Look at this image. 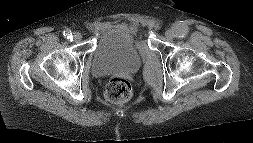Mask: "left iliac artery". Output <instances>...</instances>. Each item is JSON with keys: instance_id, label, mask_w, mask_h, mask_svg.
Instances as JSON below:
<instances>
[{"instance_id": "left-iliac-artery-1", "label": "left iliac artery", "mask_w": 253, "mask_h": 143, "mask_svg": "<svg viewBox=\"0 0 253 143\" xmlns=\"http://www.w3.org/2000/svg\"><path fill=\"white\" fill-rule=\"evenodd\" d=\"M175 31H176V36L177 37L183 38L188 33V28L185 27V26H179V27L175 28Z\"/></svg>"}]
</instances>
